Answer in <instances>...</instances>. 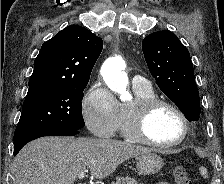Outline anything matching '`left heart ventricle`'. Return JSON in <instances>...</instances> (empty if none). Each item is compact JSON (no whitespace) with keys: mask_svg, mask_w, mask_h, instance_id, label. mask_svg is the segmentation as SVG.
<instances>
[{"mask_svg":"<svg viewBox=\"0 0 224 184\" xmlns=\"http://www.w3.org/2000/svg\"><path fill=\"white\" fill-rule=\"evenodd\" d=\"M148 134L156 142L170 143L178 140L183 132L180 118L169 108H159L150 118Z\"/></svg>","mask_w":224,"mask_h":184,"instance_id":"obj_1","label":"left heart ventricle"}]
</instances>
